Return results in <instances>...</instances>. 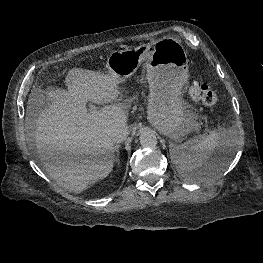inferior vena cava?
Listing matches in <instances>:
<instances>
[{"mask_svg":"<svg viewBox=\"0 0 263 263\" xmlns=\"http://www.w3.org/2000/svg\"><path fill=\"white\" fill-rule=\"evenodd\" d=\"M129 134V131L126 127L115 128L110 133V138L113 143L123 142Z\"/></svg>","mask_w":263,"mask_h":263,"instance_id":"inferior-vena-cava-1","label":"inferior vena cava"}]
</instances>
